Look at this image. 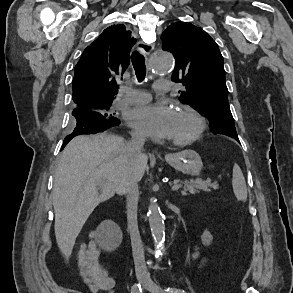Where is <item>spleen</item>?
<instances>
[{
	"mask_svg": "<svg viewBox=\"0 0 293 293\" xmlns=\"http://www.w3.org/2000/svg\"><path fill=\"white\" fill-rule=\"evenodd\" d=\"M232 186L237 200L245 201L247 199L246 182L240 167L236 163L233 166Z\"/></svg>",
	"mask_w": 293,
	"mask_h": 293,
	"instance_id": "3e777b00",
	"label": "spleen"
}]
</instances>
